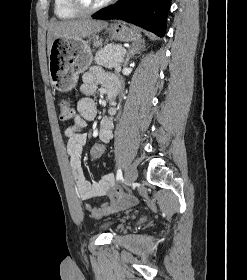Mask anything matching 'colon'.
Segmentation results:
<instances>
[{
    "label": "colon",
    "mask_w": 247,
    "mask_h": 280,
    "mask_svg": "<svg viewBox=\"0 0 247 280\" xmlns=\"http://www.w3.org/2000/svg\"><path fill=\"white\" fill-rule=\"evenodd\" d=\"M60 119L62 121H68L74 117V109L70 101L63 98L58 104ZM106 154V145L102 139H97L90 149V157L92 160H97L101 156Z\"/></svg>",
    "instance_id": "5ec220e1"
}]
</instances>
